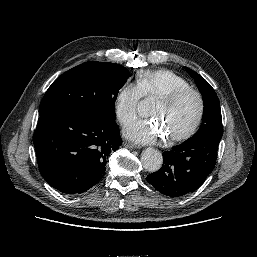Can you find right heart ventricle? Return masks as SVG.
<instances>
[{
  "mask_svg": "<svg viewBox=\"0 0 257 257\" xmlns=\"http://www.w3.org/2000/svg\"><path fill=\"white\" fill-rule=\"evenodd\" d=\"M136 83L143 96L157 99L174 90L189 87L187 80L167 69L139 71Z\"/></svg>",
  "mask_w": 257,
  "mask_h": 257,
  "instance_id": "right-heart-ventricle-1",
  "label": "right heart ventricle"
}]
</instances>
